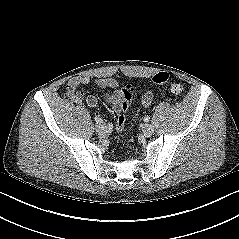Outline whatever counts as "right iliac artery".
Listing matches in <instances>:
<instances>
[{"label":"right iliac artery","instance_id":"right-iliac-artery-1","mask_svg":"<svg viewBox=\"0 0 239 239\" xmlns=\"http://www.w3.org/2000/svg\"><path fill=\"white\" fill-rule=\"evenodd\" d=\"M95 121H96L97 124L98 123H103V120L99 117H95Z\"/></svg>","mask_w":239,"mask_h":239}]
</instances>
